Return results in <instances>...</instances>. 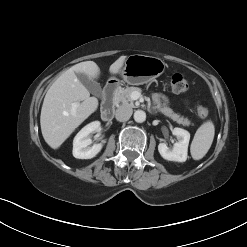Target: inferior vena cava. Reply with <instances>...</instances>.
Segmentation results:
<instances>
[{
  "label": "inferior vena cava",
  "mask_w": 247,
  "mask_h": 247,
  "mask_svg": "<svg viewBox=\"0 0 247 247\" xmlns=\"http://www.w3.org/2000/svg\"><path fill=\"white\" fill-rule=\"evenodd\" d=\"M132 113H133V110H132V108L130 106L123 105V106H120L116 110L115 117H116V119L118 121L124 122V121L129 120V118L131 117Z\"/></svg>",
  "instance_id": "602c4592"
}]
</instances>
